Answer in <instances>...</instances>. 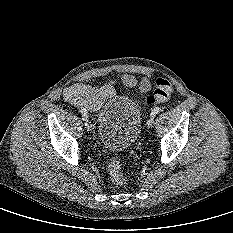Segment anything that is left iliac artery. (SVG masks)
<instances>
[{
    "label": "left iliac artery",
    "instance_id": "44dca946",
    "mask_svg": "<svg viewBox=\"0 0 233 233\" xmlns=\"http://www.w3.org/2000/svg\"><path fill=\"white\" fill-rule=\"evenodd\" d=\"M160 110L161 109L159 107H155L151 112V117H154L156 114H158Z\"/></svg>",
    "mask_w": 233,
    "mask_h": 233
}]
</instances>
